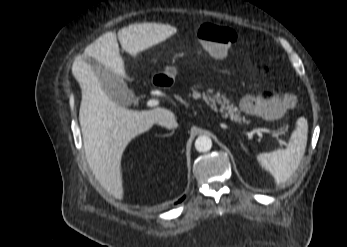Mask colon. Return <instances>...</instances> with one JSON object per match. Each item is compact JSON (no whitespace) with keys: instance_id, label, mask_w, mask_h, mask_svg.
Returning <instances> with one entry per match:
<instances>
[{"instance_id":"1","label":"colon","mask_w":347,"mask_h":247,"mask_svg":"<svg viewBox=\"0 0 347 247\" xmlns=\"http://www.w3.org/2000/svg\"><path fill=\"white\" fill-rule=\"evenodd\" d=\"M195 35L205 51L217 59L224 58L238 40L237 32L227 26L216 23H204L196 27ZM295 99L288 94L275 98L274 91L263 90L259 95L245 96L240 107L252 115L279 117L294 106Z\"/></svg>"}]
</instances>
